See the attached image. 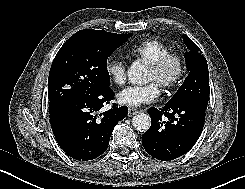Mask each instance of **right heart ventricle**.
<instances>
[{"mask_svg": "<svg viewBox=\"0 0 245 189\" xmlns=\"http://www.w3.org/2000/svg\"><path fill=\"white\" fill-rule=\"evenodd\" d=\"M170 53L169 48L158 40H147L134 45L129 51L128 55L137 59H142L148 64H151Z\"/></svg>", "mask_w": 245, "mask_h": 189, "instance_id": "e07e8e85", "label": "right heart ventricle"}]
</instances>
